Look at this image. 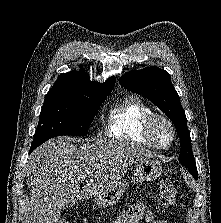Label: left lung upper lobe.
<instances>
[{
	"label": "left lung upper lobe",
	"instance_id": "5c2ea615",
	"mask_svg": "<svg viewBox=\"0 0 221 223\" xmlns=\"http://www.w3.org/2000/svg\"><path fill=\"white\" fill-rule=\"evenodd\" d=\"M119 82L126 89L152 101L176 125L181 147L179 161L197 179L198 173L185 111L181 106L179 95L172 85L169 73L158 67H147L138 71H129L119 79Z\"/></svg>",
	"mask_w": 221,
	"mask_h": 223
}]
</instances>
